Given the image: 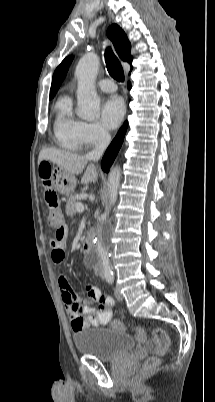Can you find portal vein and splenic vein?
Wrapping results in <instances>:
<instances>
[{
	"label": "portal vein and splenic vein",
	"mask_w": 215,
	"mask_h": 402,
	"mask_svg": "<svg viewBox=\"0 0 215 402\" xmlns=\"http://www.w3.org/2000/svg\"><path fill=\"white\" fill-rule=\"evenodd\" d=\"M85 210L84 205L82 203H77L76 204V211L79 213H82Z\"/></svg>",
	"instance_id": "obj_1"
}]
</instances>
